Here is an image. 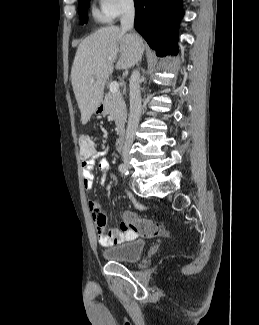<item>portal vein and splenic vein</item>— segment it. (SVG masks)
<instances>
[{
	"mask_svg": "<svg viewBox=\"0 0 259 325\" xmlns=\"http://www.w3.org/2000/svg\"><path fill=\"white\" fill-rule=\"evenodd\" d=\"M92 82L94 81L93 79L91 80ZM119 89V84L117 81H112L109 85V90L112 93H117Z\"/></svg>",
	"mask_w": 259,
	"mask_h": 325,
	"instance_id": "obj_1",
	"label": "portal vein and splenic vein"
}]
</instances>
